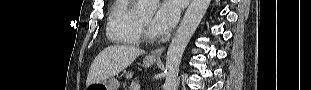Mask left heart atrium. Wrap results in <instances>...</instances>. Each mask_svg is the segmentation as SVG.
<instances>
[{
	"label": "left heart atrium",
	"instance_id": "left-heart-atrium-1",
	"mask_svg": "<svg viewBox=\"0 0 311 90\" xmlns=\"http://www.w3.org/2000/svg\"><path fill=\"white\" fill-rule=\"evenodd\" d=\"M180 1H163L151 22V30L155 34H164L171 30L178 22L180 16Z\"/></svg>",
	"mask_w": 311,
	"mask_h": 90
}]
</instances>
